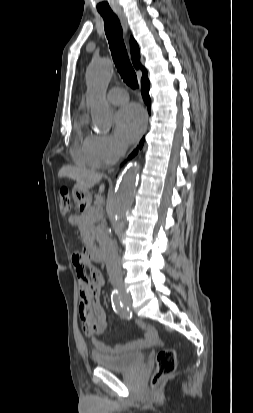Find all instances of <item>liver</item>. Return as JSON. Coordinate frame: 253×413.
Listing matches in <instances>:
<instances>
[{
  "mask_svg": "<svg viewBox=\"0 0 253 413\" xmlns=\"http://www.w3.org/2000/svg\"><path fill=\"white\" fill-rule=\"evenodd\" d=\"M58 176L60 178L68 177L72 180H75L77 182V185H79L81 188L85 190L93 188L97 183L100 182L102 178L101 174L91 172L75 166H63L59 170ZM104 188V184H102L99 187L100 194L104 191Z\"/></svg>",
  "mask_w": 253,
  "mask_h": 413,
  "instance_id": "obj_1",
  "label": "liver"
}]
</instances>
